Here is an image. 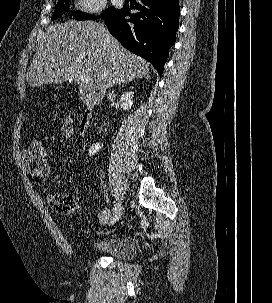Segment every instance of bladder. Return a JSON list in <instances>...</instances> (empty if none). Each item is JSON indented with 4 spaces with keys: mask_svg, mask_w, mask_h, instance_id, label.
I'll return each mask as SVG.
<instances>
[{
    "mask_svg": "<svg viewBox=\"0 0 272 303\" xmlns=\"http://www.w3.org/2000/svg\"><path fill=\"white\" fill-rule=\"evenodd\" d=\"M85 233L89 236L91 229L86 227ZM91 251L94 254L112 257L117 260H127L131 258L135 252L133 242L122 236H109L94 241L91 244Z\"/></svg>",
    "mask_w": 272,
    "mask_h": 303,
    "instance_id": "31cf9c89",
    "label": "bladder"
}]
</instances>
